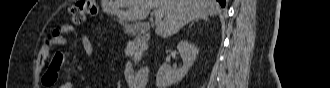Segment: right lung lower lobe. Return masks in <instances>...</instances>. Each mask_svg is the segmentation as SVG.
Masks as SVG:
<instances>
[{
  "instance_id": "right-lung-lower-lobe-1",
  "label": "right lung lower lobe",
  "mask_w": 330,
  "mask_h": 88,
  "mask_svg": "<svg viewBox=\"0 0 330 88\" xmlns=\"http://www.w3.org/2000/svg\"><path fill=\"white\" fill-rule=\"evenodd\" d=\"M219 2V4L222 6V7H225L226 5V2L225 0H217Z\"/></svg>"
}]
</instances>
